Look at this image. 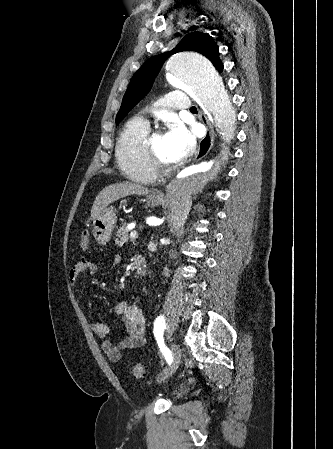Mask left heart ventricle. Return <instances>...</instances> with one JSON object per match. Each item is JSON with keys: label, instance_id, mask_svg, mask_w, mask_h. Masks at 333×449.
Wrapping results in <instances>:
<instances>
[{"label": "left heart ventricle", "instance_id": "1", "mask_svg": "<svg viewBox=\"0 0 333 449\" xmlns=\"http://www.w3.org/2000/svg\"><path fill=\"white\" fill-rule=\"evenodd\" d=\"M152 145L157 155L166 163L173 164L174 160L170 154L164 134L157 135L152 140Z\"/></svg>", "mask_w": 333, "mask_h": 449}]
</instances>
